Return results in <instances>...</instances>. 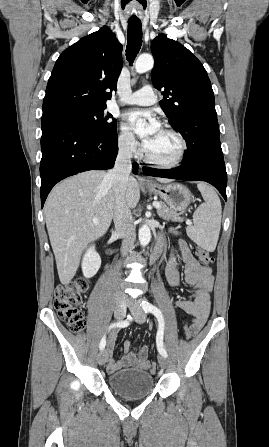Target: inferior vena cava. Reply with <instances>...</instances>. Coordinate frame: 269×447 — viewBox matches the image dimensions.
Segmentation results:
<instances>
[{
    "instance_id": "obj_1",
    "label": "inferior vena cava",
    "mask_w": 269,
    "mask_h": 447,
    "mask_svg": "<svg viewBox=\"0 0 269 447\" xmlns=\"http://www.w3.org/2000/svg\"><path fill=\"white\" fill-rule=\"evenodd\" d=\"M131 144L132 140L128 144H119L115 166L105 176V180H109L113 184L112 190L115 198L113 220L115 233H119L123 237L121 245L122 255H126L127 251L131 249L136 235L134 220L126 202L128 176L132 170Z\"/></svg>"
}]
</instances>
